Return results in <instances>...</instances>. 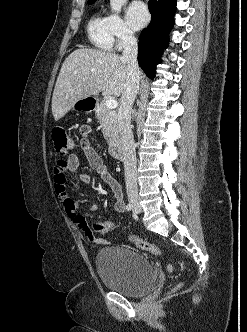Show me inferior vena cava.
<instances>
[{
    "mask_svg": "<svg viewBox=\"0 0 247 332\" xmlns=\"http://www.w3.org/2000/svg\"><path fill=\"white\" fill-rule=\"evenodd\" d=\"M138 45L137 39L132 31H129L123 41L122 59L127 62L128 82L122 93L117 121L120 131V139L124 157V172L126 191L129 200L138 198L136 153L133 132L131 128L132 105L136 98L140 69L137 62Z\"/></svg>",
    "mask_w": 247,
    "mask_h": 332,
    "instance_id": "obj_1",
    "label": "inferior vena cava"
}]
</instances>
